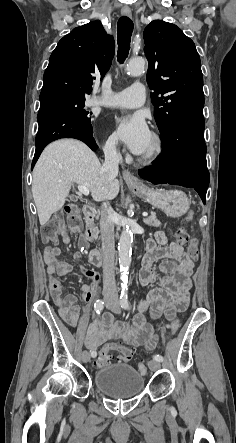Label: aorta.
I'll return each instance as SVG.
<instances>
[{"instance_id":"obj_1","label":"aorta","mask_w":236,"mask_h":443,"mask_svg":"<svg viewBox=\"0 0 236 443\" xmlns=\"http://www.w3.org/2000/svg\"><path fill=\"white\" fill-rule=\"evenodd\" d=\"M145 60L137 58L127 64L126 71L131 76H139L144 73ZM133 234L130 229H124L121 233L118 243V257L121 271V279L125 283L127 280V271L131 264Z\"/></svg>"}]
</instances>
